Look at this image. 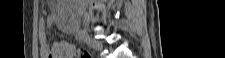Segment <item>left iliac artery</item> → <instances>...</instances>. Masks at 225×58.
<instances>
[{"label": "left iliac artery", "instance_id": "obj_1", "mask_svg": "<svg viewBox=\"0 0 225 58\" xmlns=\"http://www.w3.org/2000/svg\"><path fill=\"white\" fill-rule=\"evenodd\" d=\"M79 33L82 35L83 38L87 36L85 29H81Z\"/></svg>", "mask_w": 225, "mask_h": 58}]
</instances>
